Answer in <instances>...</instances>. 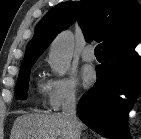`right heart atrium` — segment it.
<instances>
[{
  "mask_svg": "<svg viewBox=\"0 0 141 139\" xmlns=\"http://www.w3.org/2000/svg\"><path fill=\"white\" fill-rule=\"evenodd\" d=\"M77 98V84L71 77H54L45 85V102L51 111L74 104Z\"/></svg>",
  "mask_w": 141,
  "mask_h": 139,
  "instance_id": "1",
  "label": "right heart atrium"
}]
</instances>
